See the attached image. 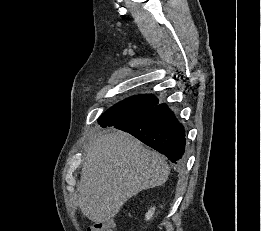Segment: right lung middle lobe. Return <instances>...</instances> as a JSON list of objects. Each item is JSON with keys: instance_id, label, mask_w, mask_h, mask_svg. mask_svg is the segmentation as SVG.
Masks as SVG:
<instances>
[{"instance_id": "dd1d6c3e", "label": "right lung middle lobe", "mask_w": 261, "mask_h": 231, "mask_svg": "<svg viewBox=\"0 0 261 231\" xmlns=\"http://www.w3.org/2000/svg\"><path fill=\"white\" fill-rule=\"evenodd\" d=\"M159 103L158 99L152 95H138L127 98L103 113L98 119L102 127L114 126L128 121Z\"/></svg>"}]
</instances>
